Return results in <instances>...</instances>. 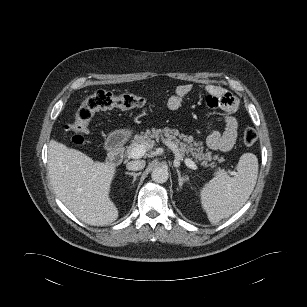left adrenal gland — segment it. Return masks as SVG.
<instances>
[{
  "label": "left adrenal gland",
  "mask_w": 307,
  "mask_h": 307,
  "mask_svg": "<svg viewBox=\"0 0 307 307\" xmlns=\"http://www.w3.org/2000/svg\"><path fill=\"white\" fill-rule=\"evenodd\" d=\"M177 174H178V183H179V187L180 189H182V186L184 183H188V177L187 176H181L180 171L177 169Z\"/></svg>",
  "instance_id": "a2214340"
}]
</instances>
